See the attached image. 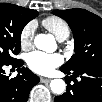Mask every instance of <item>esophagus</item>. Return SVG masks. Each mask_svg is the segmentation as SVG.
Listing matches in <instances>:
<instances>
[{
  "instance_id": "esophagus-1",
  "label": "esophagus",
  "mask_w": 102,
  "mask_h": 102,
  "mask_svg": "<svg viewBox=\"0 0 102 102\" xmlns=\"http://www.w3.org/2000/svg\"><path fill=\"white\" fill-rule=\"evenodd\" d=\"M40 81H41L42 83H49V82L51 81V78L41 77V78H40Z\"/></svg>"
}]
</instances>
